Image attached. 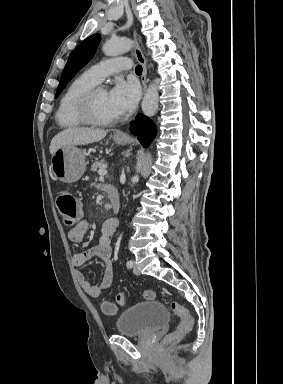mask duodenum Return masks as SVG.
<instances>
[{
	"label": "duodenum",
	"instance_id": "duodenum-1",
	"mask_svg": "<svg viewBox=\"0 0 283 384\" xmlns=\"http://www.w3.org/2000/svg\"><path fill=\"white\" fill-rule=\"evenodd\" d=\"M106 194L111 202L113 212H118L121 205L118 190L114 186L108 185L106 186Z\"/></svg>",
	"mask_w": 283,
	"mask_h": 384
}]
</instances>
